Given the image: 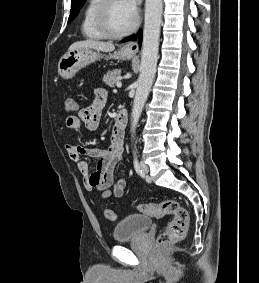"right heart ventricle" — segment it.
I'll return each instance as SVG.
<instances>
[{"label":"right heart ventricle","mask_w":259,"mask_h":283,"mask_svg":"<svg viewBox=\"0 0 259 283\" xmlns=\"http://www.w3.org/2000/svg\"><path fill=\"white\" fill-rule=\"evenodd\" d=\"M101 0H88L84 9L81 30L88 39H103L104 36L99 32L96 25V12Z\"/></svg>","instance_id":"1"}]
</instances>
